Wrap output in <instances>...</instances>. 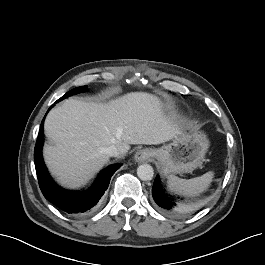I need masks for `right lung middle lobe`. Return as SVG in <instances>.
I'll return each instance as SVG.
<instances>
[{"mask_svg": "<svg viewBox=\"0 0 265 265\" xmlns=\"http://www.w3.org/2000/svg\"><path fill=\"white\" fill-rule=\"evenodd\" d=\"M84 91H87V86H82V87H78V88H75V89H72L70 90L69 92H67L63 97H61L58 101H61L71 95H75V94H78V93H81V92H84Z\"/></svg>", "mask_w": 265, "mask_h": 265, "instance_id": "right-lung-middle-lobe-1", "label": "right lung middle lobe"}]
</instances>
